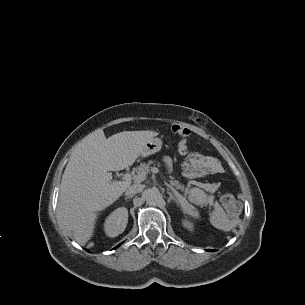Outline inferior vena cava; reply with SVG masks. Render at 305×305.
Instances as JSON below:
<instances>
[{"instance_id":"obj_1","label":"inferior vena cava","mask_w":305,"mask_h":305,"mask_svg":"<svg viewBox=\"0 0 305 305\" xmlns=\"http://www.w3.org/2000/svg\"><path fill=\"white\" fill-rule=\"evenodd\" d=\"M143 188H144V186L141 184H134L127 188L125 194L127 196H131V195L141 192L143 190Z\"/></svg>"}]
</instances>
